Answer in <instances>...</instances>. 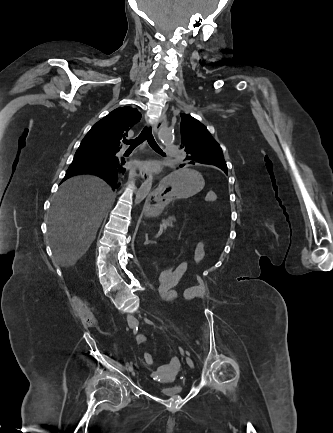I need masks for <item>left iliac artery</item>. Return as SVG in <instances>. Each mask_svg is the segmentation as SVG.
Returning a JSON list of instances; mask_svg holds the SVG:
<instances>
[{
  "mask_svg": "<svg viewBox=\"0 0 333 433\" xmlns=\"http://www.w3.org/2000/svg\"><path fill=\"white\" fill-rule=\"evenodd\" d=\"M145 321H146L148 324L153 325L152 321H150L149 319L145 318ZM181 351H183V350L181 349ZM185 352H186L187 355H189V352H188V351H185Z\"/></svg>",
  "mask_w": 333,
  "mask_h": 433,
  "instance_id": "1",
  "label": "left iliac artery"
}]
</instances>
